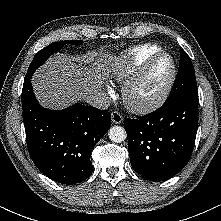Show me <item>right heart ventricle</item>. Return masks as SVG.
Segmentation results:
<instances>
[{
    "label": "right heart ventricle",
    "mask_w": 221,
    "mask_h": 221,
    "mask_svg": "<svg viewBox=\"0 0 221 221\" xmlns=\"http://www.w3.org/2000/svg\"><path fill=\"white\" fill-rule=\"evenodd\" d=\"M161 51L157 44H143L133 47L114 58L112 77L122 82L137 71L152 55Z\"/></svg>",
    "instance_id": "obj_1"
}]
</instances>
